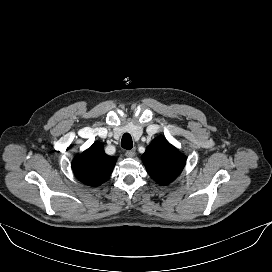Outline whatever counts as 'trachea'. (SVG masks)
<instances>
[{
    "label": "trachea",
    "instance_id": "1",
    "mask_svg": "<svg viewBox=\"0 0 272 272\" xmlns=\"http://www.w3.org/2000/svg\"><path fill=\"white\" fill-rule=\"evenodd\" d=\"M121 146L124 149L130 150L133 147V142H132V137L130 134L125 133L122 136V140H121Z\"/></svg>",
    "mask_w": 272,
    "mask_h": 272
}]
</instances>
